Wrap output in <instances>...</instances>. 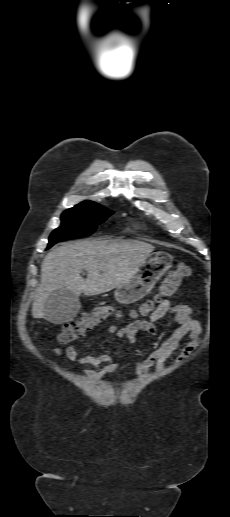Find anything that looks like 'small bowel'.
I'll use <instances>...</instances> for the list:
<instances>
[{"label":"small bowel","mask_w":230,"mask_h":517,"mask_svg":"<svg viewBox=\"0 0 230 517\" xmlns=\"http://www.w3.org/2000/svg\"><path fill=\"white\" fill-rule=\"evenodd\" d=\"M170 315L173 316L174 320L179 324V327L157 349L138 361V376H143L152 366H157L159 369H162L165 361L175 353L184 342L185 345L177 356L176 362L181 363L190 356L199 343L200 332V325L192 316V308L183 302L172 304L169 300H164L151 313L148 320H134L123 327H118L113 324L107 328L108 334L118 339H126L130 344H134L136 342V334L139 331L154 334L159 322ZM54 353L64 360L87 365L90 367V369L86 371L87 375L93 378H100L118 366V363L107 354L80 357L75 344L65 349L55 348Z\"/></svg>","instance_id":"small-bowel-1"}]
</instances>
